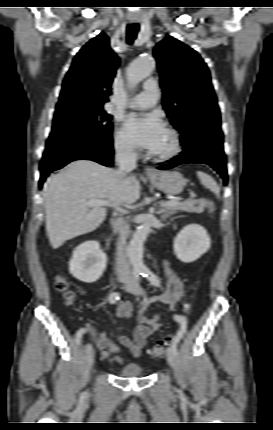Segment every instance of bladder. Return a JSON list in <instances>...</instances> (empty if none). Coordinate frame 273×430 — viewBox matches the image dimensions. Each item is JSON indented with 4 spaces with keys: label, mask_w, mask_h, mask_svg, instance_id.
Here are the masks:
<instances>
[{
    "label": "bladder",
    "mask_w": 273,
    "mask_h": 430,
    "mask_svg": "<svg viewBox=\"0 0 273 430\" xmlns=\"http://www.w3.org/2000/svg\"><path fill=\"white\" fill-rule=\"evenodd\" d=\"M123 377H139L143 374V368L136 363H130L122 367L119 371Z\"/></svg>",
    "instance_id": "1"
}]
</instances>
